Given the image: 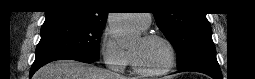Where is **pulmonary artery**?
<instances>
[{"label":"pulmonary artery","mask_w":255,"mask_h":79,"mask_svg":"<svg viewBox=\"0 0 255 79\" xmlns=\"http://www.w3.org/2000/svg\"><path fill=\"white\" fill-rule=\"evenodd\" d=\"M132 19L136 26L145 31L151 24V14H133Z\"/></svg>","instance_id":"e3ab8cb5"}]
</instances>
